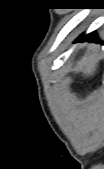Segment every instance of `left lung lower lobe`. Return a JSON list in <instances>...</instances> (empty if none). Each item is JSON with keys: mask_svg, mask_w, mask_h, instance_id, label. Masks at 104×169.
<instances>
[{"mask_svg": "<svg viewBox=\"0 0 104 169\" xmlns=\"http://www.w3.org/2000/svg\"><path fill=\"white\" fill-rule=\"evenodd\" d=\"M78 40H87V41H97V38H96V34L94 33H90L86 36H84L83 34L78 38Z\"/></svg>", "mask_w": 104, "mask_h": 169, "instance_id": "1", "label": "left lung lower lobe"}]
</instances>
